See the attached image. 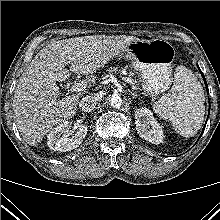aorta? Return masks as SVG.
Wrapping results in <instances>:
<instances>
[{
  "mask_svg": "<svg viewBox=\"0 0 220 220\" xmlns=\"http://www.w3.org/2000/svg\"><path fill=\"white\" fill-rule=\"evenodd\" d=\"M109 102L112 107L119 108V107H121L123 100L119 94L115 93V94L111 95Z\"/></svg>",
  "mask_w": 220,
  "mask_h": 220,
  "instance_id": "762f6f07",
  "label": "aorta"
}]
</instances>
